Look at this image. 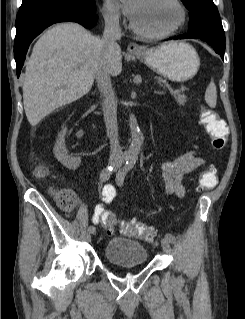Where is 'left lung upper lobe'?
I'll return each mask as SVG.
<instances>
[{"label":"left lung upper lobe","mask_w":245,"mask_h":319,"mask_svg":"<svg viewBox=\"0 0 245 319\" xmlns=\"http://www.w3.org/2000/svg\"><path fill=\"white\" fill-rule=\"evenodd\" d=\"M189 10L188 34L212 38L225 45V33L212 0H181Z\"/></svg>","instance_id":"obj_1"}]
</instances>
